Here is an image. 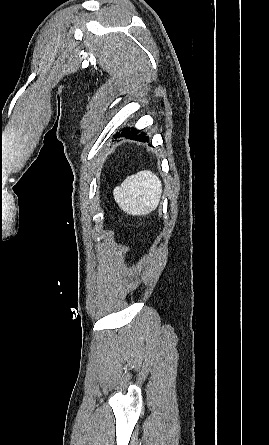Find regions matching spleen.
Listing matches in <instances>:
<instances>
[{
  "instance_id": "3e777b00",
  "label": "spleen",
  "mask_w": 269,
  "mask_h": 445,
  "mask_svg": "<svg viewBox=\"0 0 269 445\" xmlns=\"http://www.w3.org/2000/svg\"><path fill=\"white\" fill-rule=\"evenodd\" d=\"M162 183L150 170L140 171L128 176L114 188L115 202L129 215H146L154 211L160 202Z\"/></svg>"
}]
</instances>
